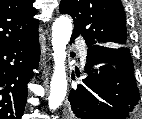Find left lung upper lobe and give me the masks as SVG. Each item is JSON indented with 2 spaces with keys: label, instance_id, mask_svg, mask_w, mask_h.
<instances>
[{
  "label": "left lung upper lobe",
  "instance_id": "obj_1",
  "mask_svg": "<svg viewBox=\"0 0 142 119\" xmlns=\"http://www.w3.org/2000/svg\"><path fill=\"white\" fill-rule=\"evenodd\" d=\"M59 9L61 14L72 16V35H81L87 46H127L125 13L120 0H62Z\"/></svg>",
  "mask_w": 142,
  "mask_h": 119
}]
</instances>
